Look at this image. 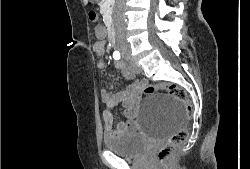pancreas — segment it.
<instances>
[{
	"mask_svg": "<svg viewBox=\"0 0 250 169\" xmlns=\"http://www.w3.org/2000/svg\"><path fill=\"white\" fill-rule=\"evenodd\" d=\"M100 4H107L106 10H108V8H111L113 2L112 0H101Z\"/></svg>",
	"mask_w": 250,
	"mask_h": 169,
	"instance_id": "1",
	"label": "pancreas"
}]
</instances>
